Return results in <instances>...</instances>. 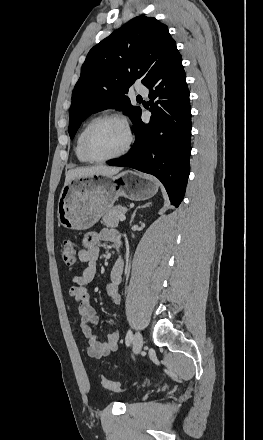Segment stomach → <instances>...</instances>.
Masks as SVG:
<instances>
[{
    "mask_svg": "<svg viewBox=\"0 0 263 440\" xmlns=\"http://www.w3.org/2000/svg\"><path fill=\"white\" fill-rule=\"evenodd\" d=\"M158 188L154 178L135 172H124L116 177L74 178L61 190L58 223L68 230H86L110 210L119 197L146 200L153 197Z\"/></svg>",
    "mask_w": 263,
    "mask_h": 440,
    "instance_id": "0dacf381",
    "label": "stomach"
}]
</instances>
